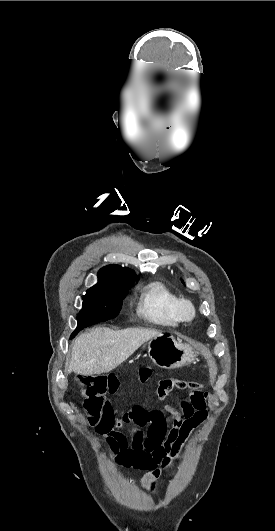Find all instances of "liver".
Listing matches in <instances>:
<instances>
[{
  "label": "liver",
  "mask_w": 275,
  "mask_h": 531,
  "mask_svg": "<svg viewBox=\"0 0 275 531\" xmlns=\"http://www.w3.org/2000/svg\"><path fill=\"white\" fill-rule=\"evenodd\" d=\"M160 335L156 329H92L75 339L67 373L101 375L110 373L126 361L143 343Z\"/></svg>",
  "instance_id": "1"
}]
</instances>
